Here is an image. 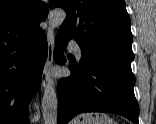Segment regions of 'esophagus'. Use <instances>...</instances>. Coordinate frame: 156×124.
I'll use <instances>...</instances> for the list:
<instances>
[{
  "mask_svg": "<svg viewBox=\"0 0 156 124\" xmlns=\"http://www.w3.org/2000/svg\"><path fill=\"white\" fill-rule=\"evenodd\" d=\"M47 43H48V54L42 75V86L45 90L49 88L52 84L50 69L53 63V54L55 46V36L52 28H50L47 33Z\"/></svg>",
  "mask_w": 156,
  "mask_h": 124,
  "instance_id": "1",
  "label": "esophagus"
}]
</instances>
